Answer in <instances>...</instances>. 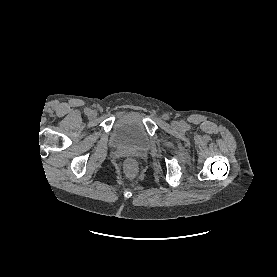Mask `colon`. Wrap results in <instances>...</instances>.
Masks as SVG:
<instances>
[{
    "label": "colon",
    "instance_id": "1",
    "mask_svg": "<svg viewBox=\"0 0 277 277\" xmlns=\"http://www.w3.org/2000/svg\"><path fill=\"white\" fill-rule=\"evenodd\" d=\"M123 168L128 178H133L138 170L137 163L133 159H127L123 164Z\"/></svg>",
    "mask_w": 277,
    "mask_h": 277
}]
</instances>
